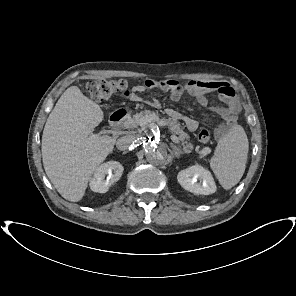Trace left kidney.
Returning a JSON list of instances; mask_svg holds the SVG:
<instances>
[{
	"label": "left kidney",
	"instance_id": "obj_1",
	"mask_svg": "<svg viewBox=\"0 0 296 296\" xmlns=\"http://www.w3.org/2000/svg\"><path fill=\"white\" fill-rule=\"evenodd\" d=\"M177 180L185 190L197 195H210L216 192V184L211 173L200 165L181 170Z\"/></svg>",
	"mask_w": 296,
	"mask_h": 296
}]
</instances>
